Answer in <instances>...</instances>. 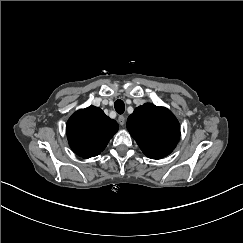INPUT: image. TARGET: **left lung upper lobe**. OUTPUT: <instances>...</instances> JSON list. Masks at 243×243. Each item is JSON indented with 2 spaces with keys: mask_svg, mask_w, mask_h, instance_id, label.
<instances>
[{
  "mask_svg": "<svg viewBox=\"0 0 243 243\" xmlns=\"http://www.w3.org/2000/svg\"><path fill=\"white\" fill-rule=\"evenodd\" d=\"M127 129L143 153L151 159L169 155L180 138V126L167 108L146 103L128 117Z\"/></svg>",
  "mask_w": 243,
  "mask_h": 243,
  "instance_id": "obj_1",
  "label": "left lung upper lobe"
}]
</instances>
